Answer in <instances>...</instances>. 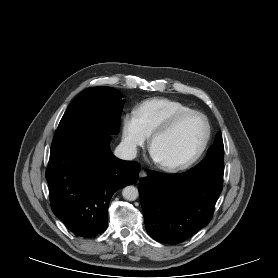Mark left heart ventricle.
I'll list each match as a JSON object with an SVG mask.
<instances>
[{
	"label": "left heart ventricle",
	"instance_id": "1",
	"mask_svg": "<svg viewBox=\"0 0 278 278\" xmlns=\"http://www.w3.org/2000/svg\"><path fill=\"white\" fill-rule=\"evenodd\" d=\"M205 123L200 116L190 115L182 119L168 134L154 143L152 153L161 162L175 163L192 156L202 143Z\"/></svg>",
	"mask_w": 278,
	"mask_h": 278
}]
</instances>
